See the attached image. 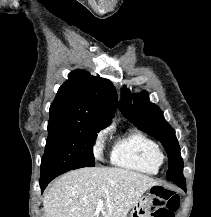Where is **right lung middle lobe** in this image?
Instances as JSON below:
<instances>
[{"instance_id":"1","label":"right lung middle lobe","mask_w":211,"mask_h":217,"mask_svg":"<svg viewBox=\"0 0 211 217\" xmlns=\"http://www.w3.org/2000/svg\"><path fill=\"white\" fill-rule=\"evenodd\" d=\"M106 126L76 121H49L41 176L95 165L93 144Z\"/></svg>"}]
</instances>
